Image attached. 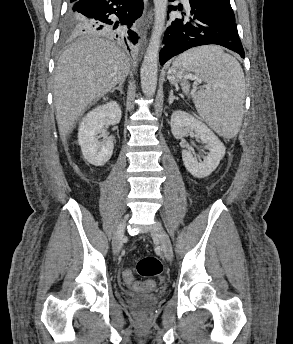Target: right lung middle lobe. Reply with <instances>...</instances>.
<instances>
[{"instance_id": "dd1d6c3e", "label": "right lung middle lobe", "mask_w": 293, "mask_h": 344, "mask_svg": "<svg viewBox=\"0 0 293 344\" xmlns=\"http://www.w3.org/2000/svg\"><path fill=\"white\" fill-rule=\"evenodd\" d=\"M86 22L87 19L69 10L66 15L62 37L64 39H70L77 36L78 34H80L81 28L85 25Z\"/></svg>"}]
</instances>
